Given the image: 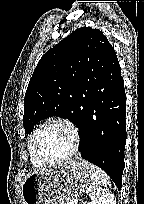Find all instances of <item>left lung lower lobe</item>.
<instances>
[{
	"label": "left lung lower lobe",
	"mask_w": 144,
	"mask_h": 204,
	"mask_svg": "<svg viewBox=\"0 0 144 204\" xmlns=\"http://www.w3.org/2000/svg\"><path fill=\"white\" fill-rule=\"evenodd\" d=\"M126 96L117 57L99 65L88 90L81 157L103 169L120 190L126 144Z\"/></svg>",
	"instance_id": "obj_1"
}]
</instances>
